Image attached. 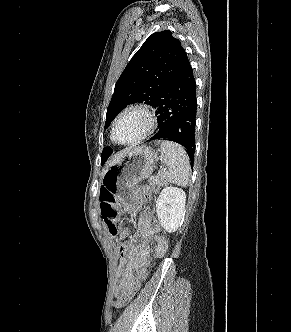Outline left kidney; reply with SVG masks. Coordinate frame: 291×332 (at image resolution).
<instances>
[{
  "label": "left kidney",
  "mask_w": 291,
  "mask_h": 332,
  "mask_svg": "<svg viewBox=\"0 0 291 332\" xmlns=\"http://www.w3.org/2000/svg\"><path fill=\"white\" fill-rule=\"evenodd\" d=\"M186 194L181 188L166 186L156 201V212L161 226L175 232L184 216Z\"/></svg>",
  "instance_id": "1"
}]
</instances>
